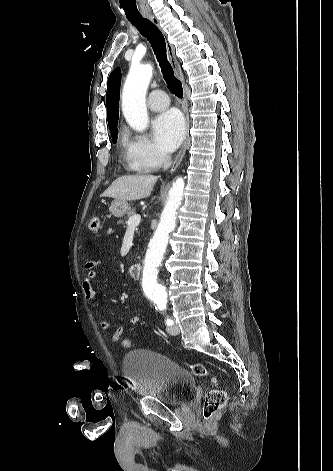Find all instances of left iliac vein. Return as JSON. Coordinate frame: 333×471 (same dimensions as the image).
Segmentation results:
<instances>
[{"label": "left iliac vein", "mask_w": 333, "mask_h": 471, "mask_svg": "<svg viewBox=\"0 0 333 471\" xmlns=\"http://www.w3.org/2000/svg\"><path fill=\"white\" fill-rule=\"evenodd\" d=\"M167 332L170 334V335H178L180 333V328L179 326L175 323L173 324L172 326H169L167 328Z\"/></svg>", "instance_id": "left-iliac-vein-1"}]
</instances>
